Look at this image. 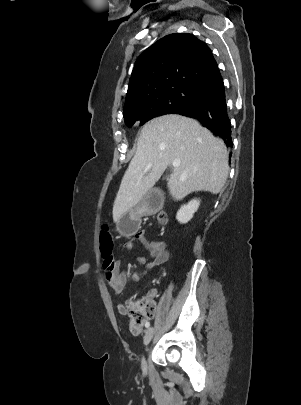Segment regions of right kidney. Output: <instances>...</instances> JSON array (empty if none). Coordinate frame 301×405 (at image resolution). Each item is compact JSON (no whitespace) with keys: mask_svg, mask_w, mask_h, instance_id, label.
I'll use <instances>...</instances> for the list:
<instances>
[{"mask_svg":"<svg viewBox=\"0 0 301 405\" xmlns=\"http://www.w3.org/2000/svg\"><path fill=\"white\" fill-rule=\"evenodd\" d=\"M199 205L200 200L193 199L188 202V204L181 206L176 215L178 222L181 224L189 222L193 218L194 213L198 210Z\"/></svg>","mask_w":301,"mask_h":405,"instance_id":"right-kidney-1","label":"right kidney"}]
</instances>
